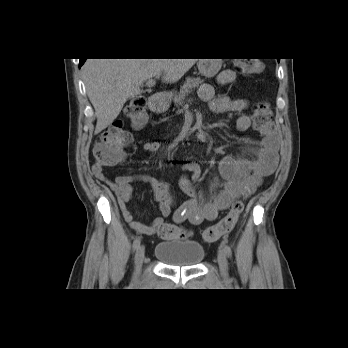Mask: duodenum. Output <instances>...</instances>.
I'll list each match as a JSON object with an SVG mask.
<instances>
[{"instance_id": "obj_1", "label": "duodenum", "mask_w": 348, "mask_h": 348, "mask_svg": "<svg viewBox=\"0 0 348 348\" xmlns=\"http://www.w3.org/2000/svg\"><path fill=\"white\" fill-rule=\"evenodd\" d=\"M151 110L160 111L162 109V98L159 95H153L149 99Z\"/></svg>"}]
</instances>
